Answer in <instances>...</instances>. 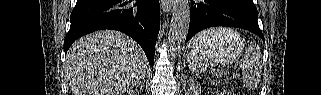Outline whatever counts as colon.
Segmentation results:
<instances>
[{
    "mask_svg": "<svg viewBox=\"0 0 321 95\" xmlns=\"http://www.w3.org/2000/svg\"><path fill=\"white\" fill-rule=\"evenodd\" d=\"M222 95H232V93L229 92V91H223V92H222Z\"/></svg>",
    "mask_w": 321,
    "mask_h": 95,
    "instance_id": "obj_1",
    "label": "colon"
}]
</instances>
